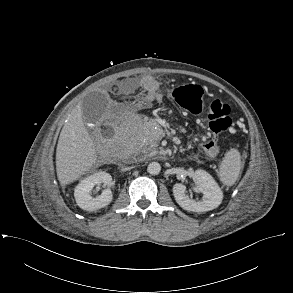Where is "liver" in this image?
<instances>
[{
  "label": "liver",
  "mask_w": 293,
  "mask_h": 293,
  "mask_svg": "<svg viewBox=\"0 0 293 293\" xmlns=\"http://www.w3.org/2000/svg\"><path fill=\"white\" fill-rule=\"evenodd\" d=\"M94 143L85 128L81 105L71 112L59 136L56 171L61 185L80 178L96 163Z\"/></svg>",
  "instance_id": "liver-1"
}]
</instances>
